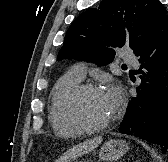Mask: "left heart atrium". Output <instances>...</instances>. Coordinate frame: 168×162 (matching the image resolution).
<instances>
[{"instance_id":"left-heart-atrium-1","label":"left heart atrium","mask_w":168,"mask_h":162,"mask_svg":"<svg viewBox=\"0 0 168 162\" xmlns=\"http://www.w3.org/2000/svg\"><path fill=\"white\" fill-rule=\"evenodd\" d=\"M105 96L108 100L112 112H114L121 103V94L116 87H111L106 93Z\"/></svg>"}]
</instances>
